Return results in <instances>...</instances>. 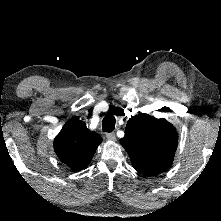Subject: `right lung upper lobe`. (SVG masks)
I'll return each instance as SVG.
<instances>
[{
    "instance_id": "obj_1",
    "label": "right lung upper lobe",
    "mask_w": 221,
    "mask_h": 221,
    "mask_svg": "<svg viewBox=\"0 0 221 221\" xmlns=\"http://www.w3.org/2000/svg\"><path fill=\"white\" fill-rule=\"evenodd\" d=\"M102 138L90 131L80 120H70L54 139V149L60 160L75 171L90 163Z\"/></svg>"
}]
</instances>
